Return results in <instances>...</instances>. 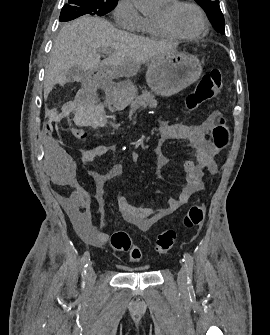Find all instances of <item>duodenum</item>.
<instances>
[{
    "label": "duodenum",
    "mask_w": 270,
    "mask_h": 335,
    "mask_svg": "<svg viewBox=\"0 0 270 335\" xmlns=\"http://www.w3.org/2000/svg\"><path fill=\"white\" fill-rule=\"evenodd\" d=\"M108 97V107L112 111H119L124 108L126 97L123 88L116 82L108 80L105 85Z\"/></svg>",
    "instance_id": "obj_1"
}]
</instances>
